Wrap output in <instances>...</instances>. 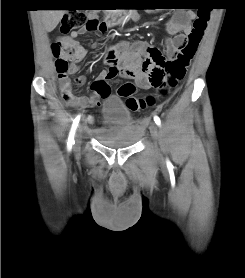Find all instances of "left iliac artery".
Listing matches in <instances>:
<instances>
[{
    "instance_id": "44dca946",
    "label": "left iliac artery",
    "mask_w": 245,
    "mask_h": 278,
    "mask_svg": "<svg viewBox=\"0 0 245 278\" xmlns=\"http://www.w3.org/2000/svg\"><path fill=\"white\" fill-rule=\"evenodd\" d=\"M154 121H155V123H156L157 125H160V124H161V120H160V118H159L158 116H155V117H154Z\"/></svg>"
}]
</instances>
